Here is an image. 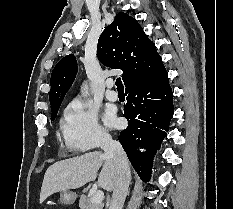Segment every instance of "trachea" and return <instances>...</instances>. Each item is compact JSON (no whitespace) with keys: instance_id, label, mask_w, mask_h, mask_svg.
I'll return each instance as SVG.
<instances>
[{"instance_id":"trachea-1","label":"trachea","mask_w":233,"mask_h":209,"mask_svg":"<svg viewBox=\"0 0 233 209\" xmlns=\"http://www.w3.org/2000/svg\"><path fill=\"white\" fill-rule=\"evenodd\" d=\"M115 85L117 86V90H124V86L122 84L121 78H117Z\"/></svg>"}]
</instances>
